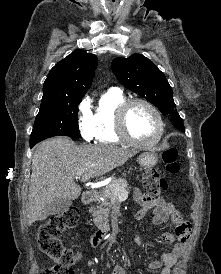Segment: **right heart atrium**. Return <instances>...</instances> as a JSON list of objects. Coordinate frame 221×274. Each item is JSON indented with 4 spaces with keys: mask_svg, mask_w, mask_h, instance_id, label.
I'll list each match as a JSON object with an SVG mask.
<instances>
[{
    "mask_svg": "<svg viewBox=\"0 0 221 274\" xmlns=\"http://www.w3.org/2000/svg\"><path fill=\"white\" fill-rule=\"evenodd\" d=\"M78 127L84 140L90 142L95 138L94 116L88 97H85L78 105Z\"/></svg>",
    "mask_w": 221,
    "mask_h": 274,
    "instance_id": "obj_1",
    "label": "right heart atrium"
}]
</instances>
